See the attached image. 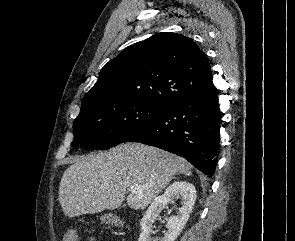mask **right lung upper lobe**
<instances>
[{"label":"right lung upper lobe","mask_w":295,"mask_h":241,"mask_svg":"<svg viewBox=\"0 0 295 241\" xmlns=\"http://www.w3.org/2000/svg\"><path fill=\"white\" fill-rule=\"evenodd\" d=\"M206 54L190 38L157 33L109 61L85 95L114 91L133 101L165 107L175 99L211 88Z\"/></svg>","instance_id":"cb5924a9"}]
</instances>
